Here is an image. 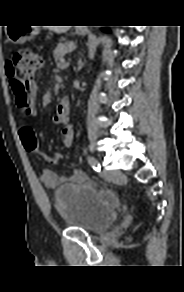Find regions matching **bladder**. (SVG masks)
Masks as SVG:
<instances>
[{"mask_svg": "<svg viewBox=\"0 0 184 292\" xmlns=\"http://www.w3.org/2000/svg\"><path fill=\"white\" fill-rule=\"evenodd\" d=\"M54 206L71 228L98 233L117 218L119 197L110 191H103L90 183L63 185L54 193Z\"/></svg>", "mask_w": 184, "mask_h": 292, "instance_id": "obj_1", "label": "bladder"}]
</instances>
